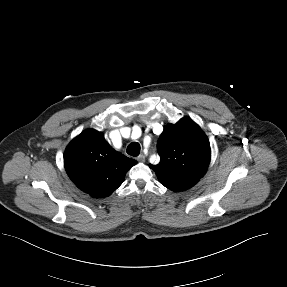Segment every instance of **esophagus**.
<instances>
[{"label": "esophagus", "mask_w": 287, "mask_h": 287, "mask_svg": "<svg viewBox=\"0 0 287 287\" xmlns=\"http://www.w3.org/2000/svg\"><path fill=\"white\" fill-rule=\"evenodd\" d=\"M137 161L139 162H144L145 161V156L143 154H140L138 157H137Z\"/></svg>", "instance_id": "34e87169"}]
</instances>
